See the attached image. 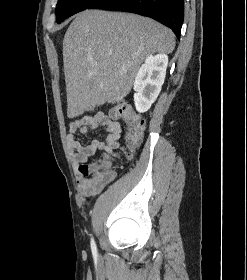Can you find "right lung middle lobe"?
Wrapping results in <instances>:
<instances>
[{"label": "right lung middle lobe", "instance_id": "dd1d6c3e", "mask_svg": "<svg viewBox=\"0 0 247 280\" xmlns=\"http://www.w3.org/2000/svg\"><path fill=\"white\" fill-rule=\"evenodd\" d=\"M98 0H59L56 6V20L61 23L66 18L91 7Z\"/></svg>", "mask_w": 247, "mask_h": 280}]
</instances>
